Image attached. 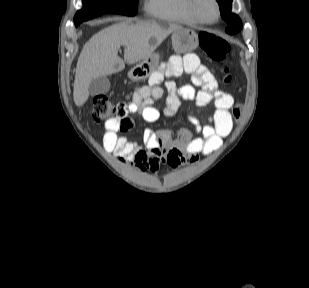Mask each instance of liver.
Instances as JSON below:
<instances>
[{
	"instance_id": "liver-1",
	"label": "liver",
	"mask_w": 309,
	"mask_h": 288,
	"mask_svg": "<svg viewBox=\"0 0 309 288\" xmlns=\"http://www.w3.org/2000/svg\"><path fill=\"white\" fill-rule=\"evenodd\" d=\"M173 23L126 19L93 35L84 45L76 67L73 98L82 106L89 97V84L95 78L118 73L127 64H135L150 55L175 30ZM124 47V60L118 56Z\"/></svg>"
}]
</instances>
